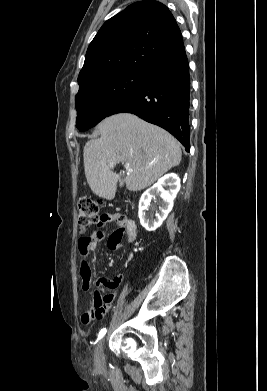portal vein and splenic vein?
<instances>
[{
	"label": "portal vein and splenic vein",
	"instance_id": "18ae733b",
	"mask_svg": "<svg viewBox=\"0 0 267 391\" xmlns=\"http://www.w3.org/2000/svg\"><path fill=\"white\" fill-rule=\"evenodd\" d=\"M109 166H110V167H113V163H109ZM125 168H126V170H128V171H133V170L130 168V164H129V163H126V164H125Z\"/></svg>",
	"mask_w": 267,
	"mask_h": 391
}]
</instances>
